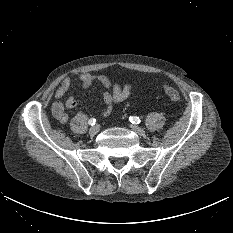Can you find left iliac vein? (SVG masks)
<instances>
[{
  "label": "left iliac vein",
  "mask_w": 233,
  "mask_h": 233,
  "mask_svg": "<svg viewBox=\"0 0 233 233\" xmlns=\"http://www.w3.org/2000/svg\"><path fill=\"white\" fill-rule=\"evenodd\" d=\"M131 130H133L135 133H137L140 136H143L145 134V131L143 128L138 127L136 125H130Z\"/></svg>",
  "instance_id": "obj_1"
}]
</instances>
